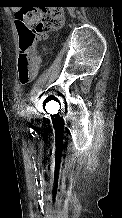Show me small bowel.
Returning a JSON list of instances; mask_svg holds the SVG:
<instances>
[{"instance_id":"small-bowel-1","label":"small bowel","mask_w":122,"mask_h":218,"mask_svg":"<svg viewBox=\"0 0 122 218\" xmlns=\"http://www.w3.org/2000/svg\"><path fill=\"white\" fill-rule=\"evenodd\" d=\"M40 63V60L38 59V64Z\"/></svg>"}]
</instances>
